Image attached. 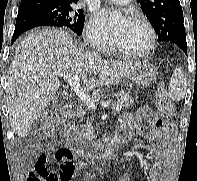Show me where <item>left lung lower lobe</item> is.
<instances>
[{
  "label": "left lung lower lobe",
  "instance_id": "left-lung-lower-lobe-1",
  "mask_svg": "<svg viewBox=\"0 0 197 181\" xmlns=\"http://www.w3.org/2000/svg\"><path fill=\"white\" fill-rule=\"evenodd\" d=\"M174 43H176L187 55V43L186 40H177Z\"/></svg>",
  "mask_w": 197,
  "mask_h": 181
}]
</instances>
